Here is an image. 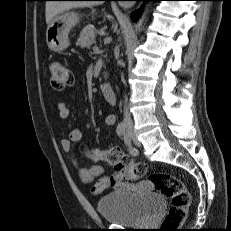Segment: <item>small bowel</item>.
I'll use <instances>...</instances> for the list:
<instances>
[{"instance_id": "c3829d8e", "label": "small bowel", "mask_w": 231, "mask_h": 231, "mask_svg": "<svg viewBox=\"0 0 231 231\" xmlns=\"http://www.w3.org/2000/svg\"><path fill=\"white\" fill-rule=\"evenodd\" d=\"M57 114L60 119H66L69 116L68 106L63 102H58ZM104 122L106 126H113L116 122L115 115L108 114L105 117ZM81 139L82 131L79 128H75L69 133L68 138L61 140L60 144L62 150L67 154L69 160L75 166L78 176L83 183H92L96 178H99L91 188L92 194L98 195L109 187L136 193H150L154 190V185L149 181H125L123 176L118 173L111 176H103L104 168L101 165L86 167L78 164L77 158L73 153V147L74 144L78 143Z\"/></svg>"}]
</instances>
